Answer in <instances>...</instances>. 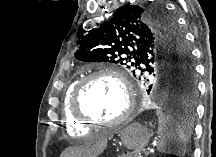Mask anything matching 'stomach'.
Listing matches in <instances>:
<instances>
[{
    "label": "stomach",
    "instance_id": "stomach-1",
    "mask_svg": "<svg viewBox=\"0 0 216 157\" xmlns=\"http://www.w3.org/2000/svg\"><path fill=\"white\" fill-rule=\"evenodd\" d=\"M120 135L123 143L129 149L144 148L151 136L150 131L139 123H133L125 127L120 131Z\"/></svg>",
    "mask_w": 216,
    "mask_h": 157
}]
</instances>
